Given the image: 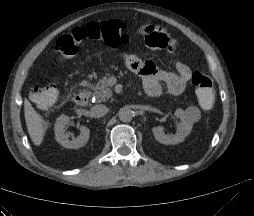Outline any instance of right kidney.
Masks as SVG:
<instances>
[{"label":"right kidney","mask_w":254,"mask_h":216,"mask_svg":"<svg viewBox=\"0 0 254 216\" xmlns=\"http://www.w3.org/2000/svg\"><path fill=\"white\" fill-rule=\"evenodd\" d=\"M70 123V118L66 115H61L57 118L54 126L55 138L59 144L69 149H79L83 147L89 140V128L80 127V135L77 138H68L65 134L66 126Z\"/></svg>","instance_id":"right-kidney-1"}]
</instances>
